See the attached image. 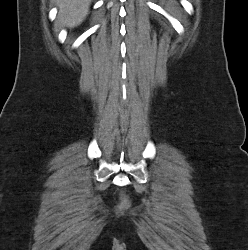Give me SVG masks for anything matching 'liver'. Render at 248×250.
<instances>
[{
	"instance_id": "obj_1",
	"label": "liver",
	"mask_w": 248,
	"mask_h": 250,
	"mask_svg": "<svg viewBox=\"0 0 248 250\" xmlns=\"http://www.w3.org/2000/svg\"><path fill=\"white\" fill-rule=\"evenodd\" d=\"M59 12L58 22L62 26L74 28L86 18L91 0H55Z\"/></svg>"
}]
</instances>
